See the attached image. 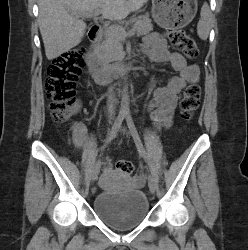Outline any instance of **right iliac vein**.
I'll return each instance as SVG.
<instances>
[{
  "instance_id": "63e3f726",
  "label": "right iliac vein",
  "mask_w": 248,
  "mask_h": 250,
  "mask_svg": "<svg viewBox=\"0 0 248 250\" xmlns=\"http://www.w3.org/2000/svg\"><path fill=\"white\" fill-rule=\"evenodd\" d=\"M99 172H100V165L97 164L95 165L93 172H92V176H91V181L93 183L98 179Z\"/></svg>"
}]
</instances>
